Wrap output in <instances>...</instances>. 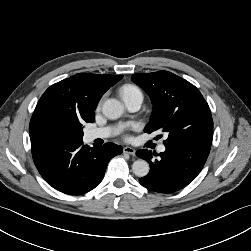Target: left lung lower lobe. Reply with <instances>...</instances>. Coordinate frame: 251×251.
I'll list each match as a JSON object with an SVG mask.
<instances>
[{"label": "left lung lower lobe", "instance_id": "0a47b994", "mask_svg": "<svg viewBox=\"0 0 251 251\" xmlns=\"http://www.w3.org/2000/svg\"><path fill=\"white\" fill-rule=\"evenodd\" d=\"M165 147L160 154L147 149L137 152L139 158L150 164V172L139 179L140 184L158 193H172L191 183L202 170L211 146L196 143L187 147ZM155 156H159L158 159Z\"/></svg>", "mask_w": 251, "mask_h": 251}]
</instances>
